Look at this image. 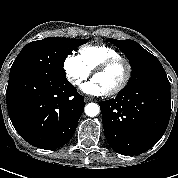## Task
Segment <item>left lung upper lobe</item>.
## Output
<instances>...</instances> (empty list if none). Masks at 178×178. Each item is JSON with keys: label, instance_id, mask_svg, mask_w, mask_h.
I'll return each instance as SVG.
<instances>
[{"label": "left lung upper lobe", "instance_id": "1", "mask_svg": "<svg viewBox=\"0 0 178 178\" xmlns=\"http://www.w3.org/2000/svg\"><path fill=\"white\" fill-rule=\"evenodd\" d=\"M109 41L116 45L130 62L132 74L125 89L148 83L170 84L160 61L137 42L112 38Z\"/></svg>", "mask_w": 178, "mask_h": 178}]
</instances>
